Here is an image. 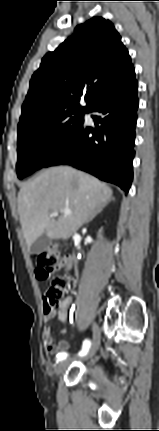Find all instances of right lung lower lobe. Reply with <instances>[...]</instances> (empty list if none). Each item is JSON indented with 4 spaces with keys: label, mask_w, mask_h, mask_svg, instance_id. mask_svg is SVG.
<instances>
[{
    "label": "right lung lower lobe",
    "mask_w": 159,
    "mask_h": 431,
    "mask_svg": "<svg viewBox=\"0 0 159 431\" xmlns=\"http://www.w3.org/2000/svg\"><path fill=\"white\" fill-rule=\"evenodd\" d=\"M137 88L134 77L101 98L88 111L97 113L92 115L96 127L82 123L44 167L68 164L128 192L133 179Z\"/></svg>",
    "instance_id": "1"
}]
</instances>
